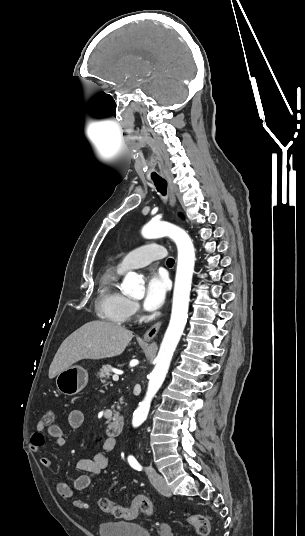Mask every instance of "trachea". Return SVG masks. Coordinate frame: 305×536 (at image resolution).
Here are the masks:
<instances>
[{"mask_svg":"<svg viewBox=\"0 0 305 536\" xmlns=\"http://www.w3.org/2000/svg\"><path fill=\"white\" fill-rule=\"evenodd\" d=\"M152 180H153L158 192H160L162 195H166L167 181L164 180V178H161V177H152ZM166 263L169 266V268H172V266L174 265L175 261L173 260V258H168Z\"/></svg>","mask_w":305,"mask_h":536,"instance_id":"1","label":"trachea"}]
</instances>
